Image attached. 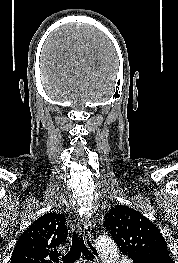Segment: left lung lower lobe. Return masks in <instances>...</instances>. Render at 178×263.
I'll use <instances>...</instances> for the list:
<instances>
[{
  "label": "left lung lower lobe",
  "instance_id": "left-lung-lower-lobe-1",
  "mask_svg": "<svg viewBox=\"0 0 178 263\" xmlns=\"http://www.w3.org/2000/svg\"><path fill=\"white\" fill-rule=\"evenodd\" d=\"M137 263H171V262L164 260L150 259V260H141L138 261Z\"/></svg>",
  "mask_w": 178,
  "mask_h": 263
}]
</instances>
